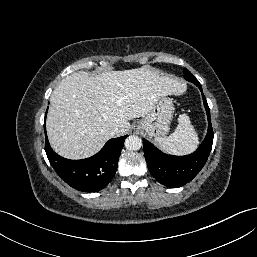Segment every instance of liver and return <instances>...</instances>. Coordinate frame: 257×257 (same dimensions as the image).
I'll return each instance as SVG.
<instances>
[{"mask_svg": "<svg viewBox=\"0 0 257 257\" xmlns=\"http://www.w3.org/2000/svg\"><path fill=\"white\" fill-rule=\"evenodd\" d=\"M183 90L185 84L178 79L146 67L72 73L51 95L46 120L51 147L68 159L90 157L112 137L109 127L124 135L128 121L149 113L159 97Z\"/></svg>", "mask_w": 257, "mask_h": 257, "instance_id": "liver-1", "label": "liver"}]
</instances>
